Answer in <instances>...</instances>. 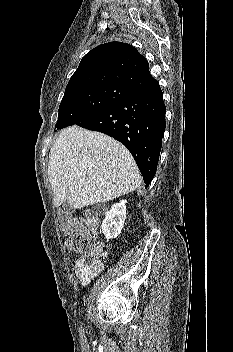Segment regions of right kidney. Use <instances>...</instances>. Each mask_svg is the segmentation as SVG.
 I'll return each instance as SVG.
<instances>
[{"mask_svg":"<svg viewBox=\"0 0 233 352\" xmlns=\"http://www.w3.org/2000/svg\"><path fill=\"white\" fill-rule=\"evenodd\" d=\"M126 202L121 200L112 205L111 210L106 214L101 228L107 240L116 238L121 233L126 219Z\"/></svg>","mask_w":233,"mask_h":352,"instance_id":"right-kidney-1","label":"right kidney"}]
</instances>
